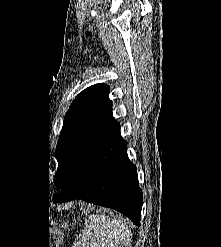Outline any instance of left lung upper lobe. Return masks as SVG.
<instances>
[{"mask_svg": "<svg viewBox=\"0 0 221 247\" xmlns=\"http://www.w3.org/2000/svg\"><path fill=\"white\" fill-rule=\"evenodd\" d=\"M110 87L100 83L77 95L66 113L56 146L58 168L54 183L65 189L80 172L99 136L117 121L112 114Z\"/></svg>", "mask_w": 221, "mask_h": 247, "instance_id": "1", "label": "left lung upper lobe"}]
</instances>
